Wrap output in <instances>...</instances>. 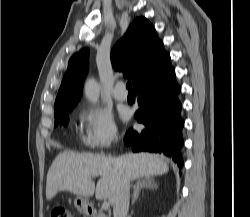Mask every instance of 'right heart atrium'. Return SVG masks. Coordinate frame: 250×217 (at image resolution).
<instances>
[{
    "label": "right heart atrium",
    "instance_id": "d8ad5b80",
    "mask_svg": "<svg viewBox=\"0 0 250 217\" xmlns=\"http://www.w3.org/2000/svg\"><path fill=\"white\" fill-rule=\"evenodd\" d=\"M78 118L80 122L79 138L86 148L104 149L116 141L117 127L108 111L85 105L79 109Z\"/></svg>",
    "mask_w": 250,
    "mask_h": 217
}]
</instances>
